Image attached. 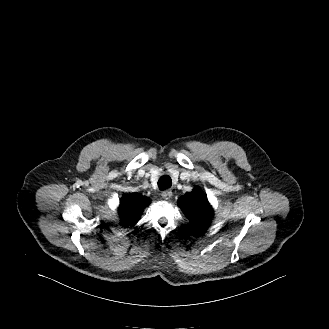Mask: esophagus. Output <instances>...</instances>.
<instances>
[{"mask_svg": "<svg viewBox=\"0 0 329 329\" xmlns=\"http://www.w3.org/2000/svg\"><path fill=\"white\" fill-rule=\"evenodd\" d=\"M173 196V193L171 190H166V191H163L162 192V197L165 199V200H170Z\"/></svg>", "mask_w": 329, "mask_h": 329, "instance_id": "1", "label": "esophagus"}]
</instances>
